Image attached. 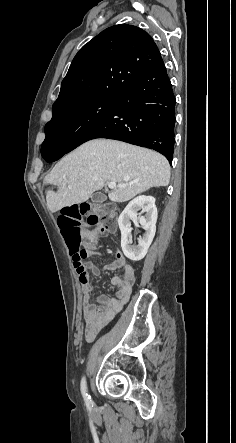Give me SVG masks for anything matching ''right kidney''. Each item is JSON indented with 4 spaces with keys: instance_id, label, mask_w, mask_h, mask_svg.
I'll use <instances>...</instances> for the list:
<instances>
[{
    "instance_id": "right-kidney-1",
    "label": "right kidney",
    "mask_w": 236,
    "mask_h": 443,
    "mask_svg": "<svg viewBox=\"0 0 236 443\" xmlns=\"http://www.w3.org/2000/svg\"><path fill=\"white\" fill-rule=\"evenodd\" d=\"M140 210L145 212V216L138 213ZM157 215L155 198L145 195L134 198L120 214L118 224L121 231V247L128 259L139 261L146 255L155 236ZM136 219L145 232L138 238V245H132L131 220Z\"/></svg>"
}]
</instances>
